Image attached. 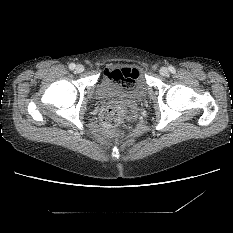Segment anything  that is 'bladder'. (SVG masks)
Segmentation results:
<instances>
[{"label": "bladder", "instance_id": "1", "mask_svg": "<svg viewBox=\"0 0 233 233\" xmlns=\"http://www.w3.org/2000/svg\"><path fill=\"white\" fill-rule=\"evenodd\" d=\"M133 85L126 89L109 71H104L97 86V97L101 100H110L118 97H141L146 94L147 84L140 66H132Z\"/></svg>", "mask_w": 233, "mask_h": 233}]
</instances>
